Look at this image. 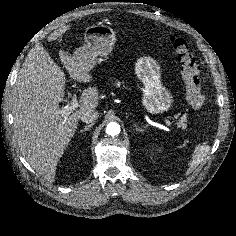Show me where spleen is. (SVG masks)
I'll use <instances>...</instances> for the list:
<instances>
[{"mask_svg":"<svg viewBox=\"0 0 236 236\" xmlns=\"http://www.w3.org/2000/svg\"><path fill=\"white\" fill-rule=\"evenodd\" d=\"M209 150V145H199L195 148V153L192 161L190 162L186 175H189L204 160V158L208 155Z\"/></svg>","mask_w":236,"mask_h":236,"instance_id":"3e777b00","label":"spleen"}]
</instances>
